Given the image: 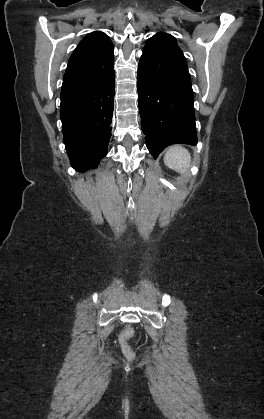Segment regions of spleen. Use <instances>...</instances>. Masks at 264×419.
<instances>
[{
    "mask_svg": "<svg viewBox=\"0 0 264 419\" xmlns=\"http://www.w3.org/2000/svg\"><path fill=\"white\" fill-rule=\"evenodd\" d=\"M164 163L169 168L184 174L190 168L191 155L186 148L180 145L171 146L166 151Z\"/></svg>",
    "mask_w": 264,
    "mask_h": 419,
    "instance_id": "obj_1",
    "label": "spleen"
}]
</instances>
